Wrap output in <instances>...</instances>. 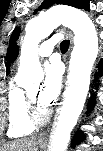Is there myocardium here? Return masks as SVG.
Returning <instances> with one entry per match:
<instances>
[{
    "mask_svg": "<svg viewBox=\"0 0 103 151\" xmlns=\"http://www.w3.org/2000/svg\"><path fill=\"white\" fill-rule=\"evenodd\" d=\"M26 95L30 120L35 125L45 124L50 117V111L48 109L41 111L39 105H37L36 101L32 98V96L29 93H26Z\"/></svg>",
    "mask_w": 103,
    "mask_h": 151,
    "instance_id": "obj_1",
    "label": "myocardium"
}]
</instances>
